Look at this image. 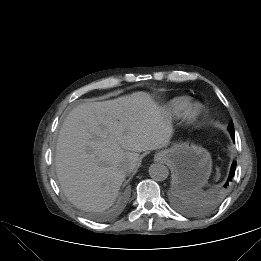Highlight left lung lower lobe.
Masks as SVG:
<instances>
[{
	"label": "left lung lower lobe",
	"mask_w": 261,
	"mask_h": 261,
	"mask_svg": "<svg viewBox=\"0 0 261 261\" xmlns=\"http://www.w3.org/2000/svg\"><path fill=\"white\" fill-rule=\"evenodd\" d=\"M230 134H231V137L232 139L235 141V134H234V130H229ZM236 162H233L232 166H231V170H230V174H229V178H228V181H231L232 178L234 177V174H235V169H236ZM228 185V182H226V184L224 186L227 187Z\"/></svg>",
	"instance_id": "0a47b994"
}]
</instances>
